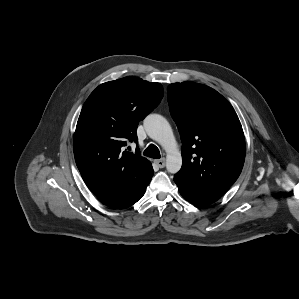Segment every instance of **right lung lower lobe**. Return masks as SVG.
<instances>
[{
  "mask_svg": "<svg viewBox=\"0 0 299 299\" xmlns=\"http://www.w3.org/2000/svg\"><path fill=\"white\" fill-rule=\"evenodd\" d=\"M151 179L142 187L127 191L125 193L114 194V195H107V196H99L96 195L97 198L105 205L116 208L122 209L127 208L134 203H136L145 193L146 187L150 183Z\"/></svg>",
  "mask_w": 299,
  "mask_h": 299,
  "instance_id": "98d812e1",
  "label": "right lung lower lobe"
}]
</instances>
